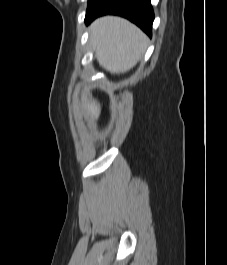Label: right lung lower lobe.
<instances>
[{
    "mask_svg": "<svg viewBox=\"0 0 227 265\" xmlns=\"http://www.w3.org/2000/svg\"><path fill=\"white\" fill-rule=\"evenodd\" d=\"M106 14L127 18L151 37L154 13L150 0H106L93 15L85 19V22L89 24L95 18Z\"/></svg>",
    "mask_w": 227,
    "mask_h": 265,
    "instance_id": "right-lung-lower-lobe-1",
    "label": "right lung lower lobe"
}]
</instances>
